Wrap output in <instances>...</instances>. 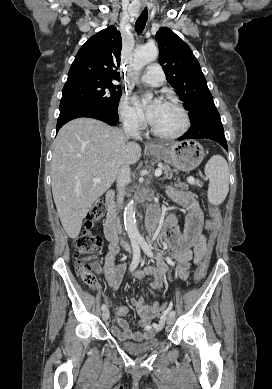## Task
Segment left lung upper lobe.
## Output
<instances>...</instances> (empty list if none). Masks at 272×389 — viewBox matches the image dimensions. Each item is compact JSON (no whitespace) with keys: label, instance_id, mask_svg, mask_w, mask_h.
<instances>
[{"label":"left lung upper lobe","instance_id":"1","mask_svg":"<svg viewBox=\"0 0 272 389\" xmlns=\"http://www.w3.org/2000/svg\"><path fill=\"white\" fill-rule=\"evenodd\" d=\"M156 40L167 81L175 88L192 121L215 106L199 62L190 47L169 28L161 27Z\"/></svg>","mask_w":272,"mask_h":389}]
</instances>
